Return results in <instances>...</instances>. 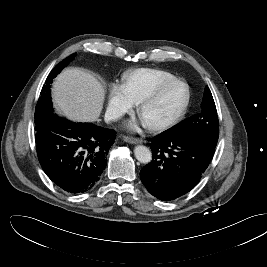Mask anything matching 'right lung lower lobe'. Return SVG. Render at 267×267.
Here are the masks:
<instances>
[{
  "label": "right lung lower lobe",
  "instance_id": "right-lung-lower-lobe-1",
  "mask_svg": "<svg viewBox=\"0 0 267 267\" xmlns=\"http://www.w3.org/2000/svg\"><path fill=\"white\" fill-rule=\"evenodd\" d=\"M116 132L91 123H75L51 113L36 125V149L46 175L61 190H90L106 167Z\"/></svg>",
  "mask_w": 267,
  "mask_h": 267
}]
</instances>
